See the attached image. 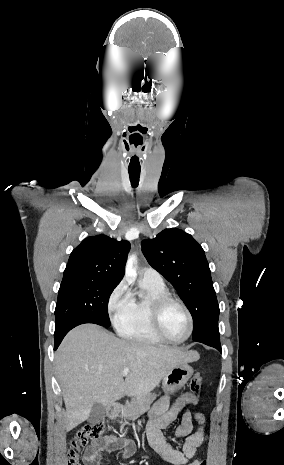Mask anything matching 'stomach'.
Masks as SVG:
<instances>
[{
  "label": "stomach",
  "mask_w": 284,
  "mask_h": 465,
  "mask_svg": "<svg viewBox=\"0 0 284 465\" xmlns=\"http://www.w3.org/2000/svg\"><path fill=\"white\" fill-rule=\"evenodd\" d=\"M193 375V369L187 363L177 365L174 369H170L167 375L162 379V389L167 395H173L179 389H182Z\"/></svg>",
  "instance_id": "1"
}]
</instances>
